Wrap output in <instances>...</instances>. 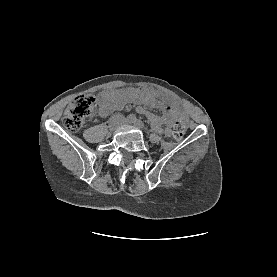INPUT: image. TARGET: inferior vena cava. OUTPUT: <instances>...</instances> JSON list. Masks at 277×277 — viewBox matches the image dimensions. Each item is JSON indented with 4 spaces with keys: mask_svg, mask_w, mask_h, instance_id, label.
<instances>
[{
    "mask_svg": "<svg viewBox=\"0 0 277 277\" xmlns=\"http://www.w3.org/2000/svg\"><path fill=\"white\" fill-rule=\"evenodd\" d=\"M123 120H124V117L123 116H120Z\"/></svg>",
    "mask_w": 277,
    "mask_h": 277,
    "instance_id": "1",
    "label": "inferior vena cava"
}]
</instances>
